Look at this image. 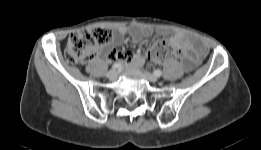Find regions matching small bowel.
Segmentation results:
<instances>
[{
	"label": "small bowel",
	"instance_id": "1",
	"mask_svg": "<svg viewBox=\"0 0 261 150\" xmlns=\"http://www.w3.org/2000/svg\"><path fill=\"white\" fill-rule=\"evenodd\" d=\"M127 31H129L133 43H139L152 35V30L149 27L134 26L129 30L125 27H118L113 33V47L106 48L104 51L112 61L119 59L128 62L135 67H140L144 63V57L141 54H132L116 48V46L123 42ZM170 42L174 47L185 52L183 65L187 70H191L192 67L205 55V46L198 40L177 34L170 38Z\"/></svg>",
	"mask_w": 261,
	"mask_h": 150
}]
</instances>
